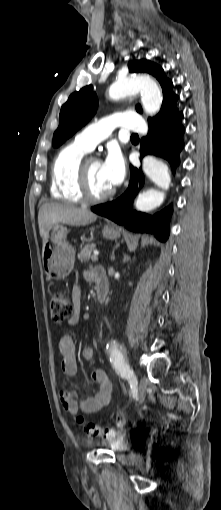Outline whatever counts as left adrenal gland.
Segmentation results:
<instances>
[{
  "mask_svg": "<svg viewBox=\"0 0 221 510\" xmlns=\"http://www.w3.org/2000/svg\"><path fill=\"white\" fill-rule=\"evenodd\" d=\"M111 259H112L113 261L115 260V255H114V254H112Z\"/></svg>",
  "mask_w": 221,
  "mask_h": 510,
  "instance_id": "1",
  "label": "left adrenal gland"
}]
</instances>
